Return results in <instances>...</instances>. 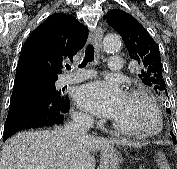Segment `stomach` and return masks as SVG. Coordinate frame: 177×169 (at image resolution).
Returning a JSON list of instances; mask_svg holds the SVG:
<instances>
[{"instance_id": "0dacf381", "label": "stomach", "mask_w": 177, "mask_h": 169, "mask_svg": "<svg viewBox=\"0 0 177 169\" xmlns=\"http://www.w3.org/2000/svg\"><path fill=\"white\" fill-rule=\"evenodd\" d=\"M121 156L114 146L101 150L100 169H120Z\"/></svg>"}]
</instances>
